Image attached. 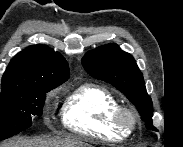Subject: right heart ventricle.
I'll return each instance as SVG.
<instances>
[{"label":"right heart ventricle","instance_id":"right-heart-ventricle-1","mask_svg":"<svg viewBox=\"0 0 183 147\" xmlns=\"http://www.w3.org/2000/svg\"><path fill=\"white\" fill-rule=\"evenodd\" d=\"M118 105L117 98L108 88L82 84L67 97L62 121L65 128L83 137L123 140L129 133L111 122V113Z\"/></svg>","mask_w":183,"mask_h":147}]
</instances>
